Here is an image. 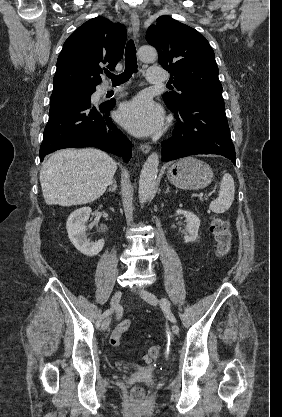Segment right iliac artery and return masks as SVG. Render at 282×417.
Instances as JSON below:
<instances>
[{
  "label": "right iliac artery",
  "mask_w": 282,
  "mask_h": 417,
  "mask_svg": "<svg viewBox=\"0 0 282 417\" xmlns=\"http://www.w3.org/2000/svg\"><path fill=\"white\" fill-rule=\"evenodd\" d=\"M111 312H112V310L111 309H108V310H106L101 316H100V318H99V320H98V326L100 325V323H101V321L105 318V317H107L108 315H110L111 314Z\"/></svg>",
  "instance_id": "82829eb1"
}]
</instances>
